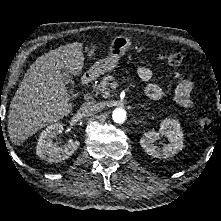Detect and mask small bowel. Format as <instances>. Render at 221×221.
<instances>
[{"mask_svg":"<svg viewBox=\"0 0 221 221\" xmlns=\"http://www.w3.org/2000/svg\"><path fill=\"white\" fill-rule=\"evenodd\" d=\"M137 74L141 80L146 82L153 78L152 70L146 66L139 67L137 69ZM174 77L179 80L174 92L176 102L184 108H191L193 105L191 99V92L193 90L192 80L183 79L178 73H176ZM146 95L153 100H158L165 96V91L158 84L151 83L146 87Z\"/></svg>","mask_w":221,"mask_h":221,"instance_id":"c3829d8e","label":"small bowel"}]
</instances>
